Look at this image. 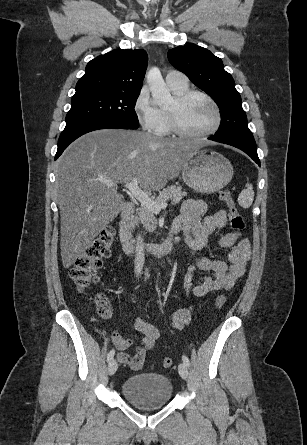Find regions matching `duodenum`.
Returning <instances> with one entry per match:
<instances>
[{
	"instance_id": "410a0bca",
	"label": "duodenum",
	"mask_w": 307,
	"mask_h": 445,
	"mask_svg": "<svg viewBox=\"0 0 307 445\" xmlns=\"http://www.w3.org/2000/svg\"><path fill=\"white\" fill-rule=\"evenodd\" d=\"M134 205L132 203H127L120 216L119 222V237L123 249L127 253H132L135 249V243L133 240V213ZM176 231L171 230L167 238L161 243H149L145 245L146 250L152 256L161 257L172 251L175 243Z\"/></svg>"
}]
</instances>
